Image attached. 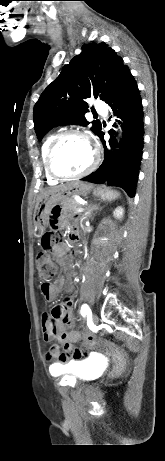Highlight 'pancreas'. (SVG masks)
<instances>
[{"mask_svg": "<svg viewBox=\"0 0 165 461\" xmlns=\"http://www.w3.org/2000/svg\"><path fill=\"white\" fill-rule=\"evenodd\" d=\"M61 205L62 210L68 213H74L80 207V204L73 198H65Z\"/></svg>", "mask_w": 165, "mask_h": 461, "instance_id": "cf45deb5", "label": "pancreas"}]
</instances>
